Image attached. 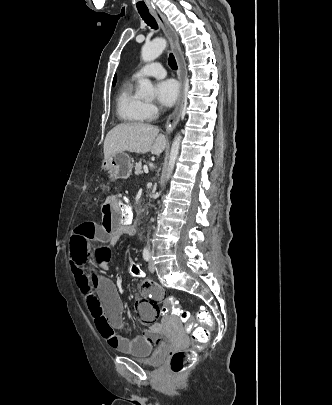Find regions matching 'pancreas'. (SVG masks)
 Segmentation results:
<instances>
[{"instance_id": "pancreas-1", "label": "pancreas", "mask_w": 332, "mask_h": 405, "mask_svg": "<svg viewBox=\"0 0 332 405\" xmlns=\"http://www.w3.org/2000/svg\"><path fill=\"white\" fill-rule=\"evenodd\" d=\"M143 172H142V164H141V162H137L136 164H135V174L136 175H140V174H142Z\"/></svg>"}]
</instances>
